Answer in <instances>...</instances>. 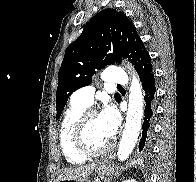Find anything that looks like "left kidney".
<instances>
[{
  "label": "left kidney",
  "mask_w": 196,
  "mask_h": 182,
  "mask_svg": "<svg viewBox=\"0 0 196 182\" xmlns=\"http://www.w3.org/2000/svg\"><path fill=\"white\" fill-rule=\"evenodd\" d=\"M124 182H137V181L134 180V179H128V180H126V181H124Z\"/></svg>",
  "instance_id": "1"
}]
</instances>
